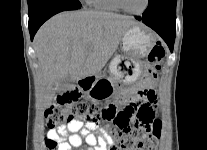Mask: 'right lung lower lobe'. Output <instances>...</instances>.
I'll use <instances>...</instances> for the list:
<instances>
[{
  "instance_id": "98d812e1",
  "label": "right lung lower lobe",
  "mask_w": 207,
  "mask_h": 150,
  "mask_svg": "<svg viewBox=\"0 0 207 150\" xmlns=\"http://www.w3.org/2000/svg\"><path fill=\"white\" fill-rule=\"evenodd\" d=\"M80 8H81L80 6L71 3L54 1V2L46 3L36 10L30 11L29 31H30L31 40H33V37L37 32V30L39 29V27L53 15L62 11L76 10Z\"/></svg>"
}]
</instances>
